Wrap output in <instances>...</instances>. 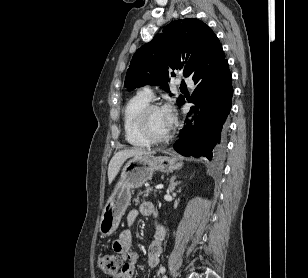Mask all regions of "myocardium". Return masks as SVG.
Returning a JSON list of instances; mask_svg holds the SVG:
<instances>
[{
    "instance_id": "1",
    "label": "myocardium",
    "mask_w": 308,
    "mask_h": 278,
    "mask_svg": "<svg viewBox=\"0 0 308 278\" xmlns=\"http://www.w3.org/2000/svg\"><path fill=\"white\" fill-rule=\"evenodd\" d=\"M157 109H160V106L158 104L149 103L145 107H143L137 115L138 129L150 143H162L167 141L171 136L170 131H168L165 135L162 136H156L152 133L149 127L148 117L152 111Z\"/></svg>"
}]
</instances>
